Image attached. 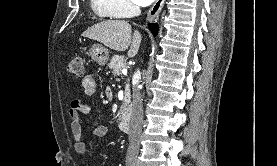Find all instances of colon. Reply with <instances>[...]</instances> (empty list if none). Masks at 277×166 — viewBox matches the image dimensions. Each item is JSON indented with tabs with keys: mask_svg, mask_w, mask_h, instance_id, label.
Listing matches in <instances>:
<instances>
[{
	"mask_svg": "<svg viewBox=\"0 0 277 166\" xmlns=\"http://www.w3.org/2000/svg\"><path fill=\"white\" fill-rule=\"evenodd\" d=\"M67 70L75 76H81L83 74L82 57L79 55L73 56L68 62Z\"/></svg>",
	"mask_w": 277,
	"mask_h": 166,
	"instance_id": "colon-1",
	"label": "colon"
}]
</instances>
